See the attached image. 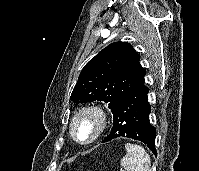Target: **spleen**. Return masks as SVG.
<instances>
[{
	"mask_svg": "<svg viewBox=\"0 0 199 171\" xmlns=\"http://www.w3.org/2000/svg\"><path fill=\"white\" fill-rule=\"evenodd\" d=\"M126 155L120 164L127 171H151V159L146 150L137 144L127 143L125 145Z\"/></svg>",
	"mask_w": 199,
	"mask_h": 171,
	"instance_id": "3e777b00",
	"label": "spleen"
}]
</instances>
